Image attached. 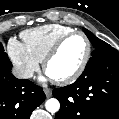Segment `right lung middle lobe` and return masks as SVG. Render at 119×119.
<instances>
[{"mask_svg": "<svg viewBox=\"0 0 119 119\" xmlns=\"http://www.w3.org/2000/svg\"><path fill=\"white\" fill-rule=\"evenodd\" d=\"M0 67L8 69L12 68V64L8 58V55L4 52V48L1 42H0Z\"/></svg>", "mask_w": 119, "mask_h": 119, "instance_id": "obj_1", "label": "right lung middle lobe"}]
</instances>
